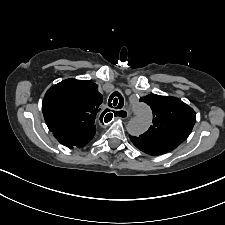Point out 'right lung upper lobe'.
<instances>
[{
  "label": "right lung upper lobe",
  "mask_w": 225,
  "mask_h": 225,
  "mask_svg": "<svg viewBox=\"0 0 225 225\" xmlns=\"http://www.w3.org/2000/svg\"><path fill=\"white\" fill-rule=\"evenodd\" d=\"M102 100L95 83L66 79L46 92L42 105L43 115L50 131L95 135V121L100 115Z\"/></svg>",
  "instance_id": "1"
}]
</instances>
